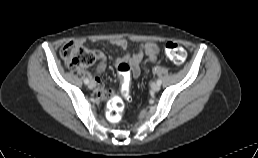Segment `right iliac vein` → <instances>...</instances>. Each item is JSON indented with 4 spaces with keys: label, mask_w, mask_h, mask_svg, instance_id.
<instances>
[{
    "label": "right iliac vein",
    "mask_w": 258,
    "mask_h": 158,
    "mask_svg": "<svg viewBox=\"0 0 258 158\" xmlns=\"http://www.w3.org/2000/svg\"><path fill=\"white\" fill-rule=\"evenodd\" d=\"M95 87V83L93 81L88 83V88L93 89Z\"/></svg>",
    "instance_id": "obj_1"
}]
</instances>
